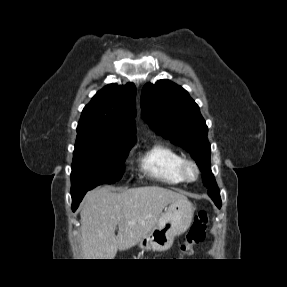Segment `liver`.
I'll return each instance as SVG.
<instances>
[{"label":"liver","mask_w":287,"mask_h":287,"mask_svg":"<svg viewBox=\"0 0 287 287\" xmlns=\"http://www.w3.org/2000/svg\"><path fill=\"white\" fill-rule=\"evenodd\" d=\"M179 199L186 197L159 186L123 192L101 187L88 192L80 212L84 259H114L118 250L135 246L157 224L163 209Z\"/></svg>","instance_id":"1"}]
</instances>
